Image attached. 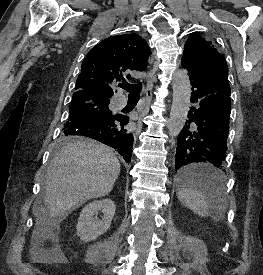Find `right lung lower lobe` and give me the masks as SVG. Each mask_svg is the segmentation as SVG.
Listing matches in <instances>:
<instances>
[{
  "instance_id": "98d812e1",
  "label": "right lung lower lobe",
  "mask_w": 263,
  "mask_h": 275,
  "mask_svg": "<svg viewBox=\"0 0 263 275\" xmlns=\"http://www.w3.org/2000/svg\"><path fill=\"white\" fill-rule=\"evenodd\" d=\"M129 117L115 114L103 118H89L63 129L68 135H79L93 138L116 149L129 163L132 156L133 135L125 129Z\"/></svg>"
}]
</instances>
